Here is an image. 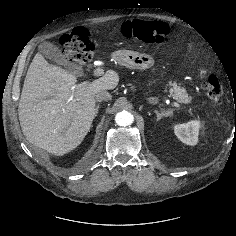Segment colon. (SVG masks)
Listing matches in <instances>:
<instances>
[{"instance_id":"obj_1","label":"colon","mask_w":236,"mask_h":236,"mask_svg":"<svg viewBox=\"0 0 236 236\" xmlns=\"http://www.w3.org/2000/svg\"><path fill=\"white\" fill-rule=\"evenodd\" d=\"M122 34L130 39L144 43H163L169 39L170 30L165 23L144 21L140 19L128 20L121 27ZM63 53L67 60L85 65L91 60L93 46L88 30L82 26L60 37ZM202 88L211 99H218L223 94V82L220 77L209 74L206 68L200 71Z\"/></svg>"}]
</instances>
